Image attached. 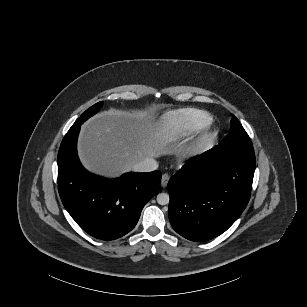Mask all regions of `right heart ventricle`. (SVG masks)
Segmentation results:
<instances>
[{
  "label": "right heart ventricle",
  "mask_w": 307,
  "mask_h": 307,
  "mask_svg": "<svg viewBox=\"0 0 307 307\" xmlns=\"http://www.w3.org/2000/svg\"><path fill=\"white\" fill-rule=\"evenodd\" d=\"M212 121V116L204 111L182 109L168 112L162 117L163 128L157 143L162 148L176 146L208 127Z\"/></svg>",
  "instance_id": "obj_1"
}]
</instances>
